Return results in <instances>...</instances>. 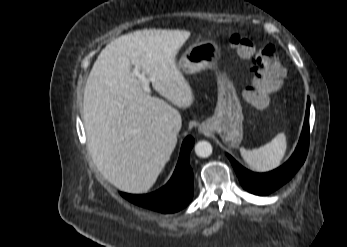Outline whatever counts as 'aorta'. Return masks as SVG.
Wrapping results in <instances>:
<instances>
[{
    "label": "aorta",
    "instance_id": "obj_1",
    "mask_svg": "<svg viewBox=\"0 0 347 247\" xmlns=\"http://www.w3.org/2000/svg\"><path fill=\"white\" fill-rule=\"evenodd\" d=\"M212 145L208 141H199L195 145V153L198 157L207 158L212 154Z\"/></svg>",
    "mask_w": 347,
    "mask_h": 247
}]
</instances>
